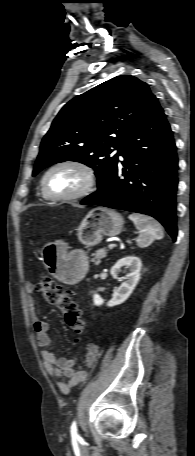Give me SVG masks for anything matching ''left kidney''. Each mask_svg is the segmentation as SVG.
Returning a JSON list of instances; mask_svg holds the SVG:
<instances>
[{
  "label": "left kidney",
  "mask_w": 195,
  "mask_h": 456,
  "mask_svg": "<svg viewBox=\"0 0 195 456\" xmlns=\"http://www.w3.org/2000/svg\"><path fill=\"white\" fill-rule=\"evenodd\" d=\"M142 267L141 260L135 256H127L119 261L111 268V275L117 278L120 272L129 273L126 275V280L121 283L120 287L115 291L112 299L107 302L108 307H113L124 303L132 294L137 283L140 280V270ZM93 303L96 306H101L104 303L102 297L98 294L93 295Z\"/></svg>",
  "instance_id": "obj_1"
}]
</instances>
